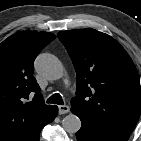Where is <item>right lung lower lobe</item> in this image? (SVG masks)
Segmentation results:
<instances>
[{
    "instance_id": "98d812e1",
    "label": "right lung lower lobe",
    "mask_w": 141,
    "mask_h": 141,
    "mask_svg": "<svg viewBox=\"0 0 141 141\" xmlns=\"http://www.w3.org/2000/svg\"><path fill=\"white\" fill-rule=\"evenodd\" d=\"M58 113V107L52 106L51 113L48 118L29 136L26 141H39V134L41 129L48 123L52 122Z\"/></svg>"
}]
</instances>
